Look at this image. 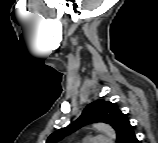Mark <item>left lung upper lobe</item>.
<instances>
[{
	"instance_id": "1",
	"label": "left lung upper lobe",
	"mask_w": 158,
	"mask_h": 143,
	"mask_svg": "<svg viewBox=\"0 0 158 143\" xmlns=\"http://www.w3.org/2000/svg\"><path fill=\"white\" fill-rule=\"evenodd\" d=\"M92 122L110 124L116 131L118 143H126V141L134 135L133 127L127 115L123 114L115 103L97 100L89 104L83 110L81 116L72 124L52 133L46 143H55L66 135L75 132L80 127Z\"/></svg>"
}]
</instances>
